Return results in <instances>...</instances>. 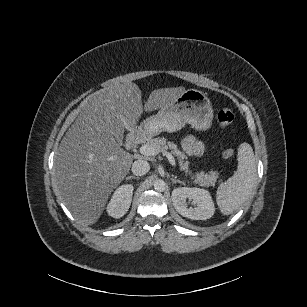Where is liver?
<instances>
[{"instance_id":"obj_1","label":"liver","mask_w":307,"mask_h":307,"mask_svg":"<svg viewBox=\"0 0 307 307\" xmlns=\"http://www.w3.org/2000/svg\"><path fill=\"white\" fill-rule=\"evenodd\" d=\"M184 91L183 86L153 90L144 107L141 90L133 82L88 96L60 143L54 171L59 198L77 220L96 223L109 195L131 168L133 156L116 142L114 130H133L143 109L169 105Z\"/></svg>"}]
</instances>
